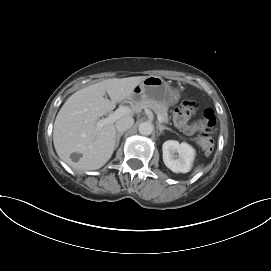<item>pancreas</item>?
<instances>
[{
	"label": "pancreas",
	"instance_id": "pancreas-1",
	"mask_svg": "<svg viewBox=\"0 0 271 271\" xmlns=\"http://www.w3.org/2000/svg\"><path fill=\"white\" fill-rule=\"evenodd\" d=\"M146 107L152 109L157 115H160L164 123H168L169 121L168 114H167L168 108L166 106L152 100H140L136 102L135 104V108L137 110H140Z\"/></svg>",
	"mask_w": 271,
	"mask_h": 271
}]
</instances>
